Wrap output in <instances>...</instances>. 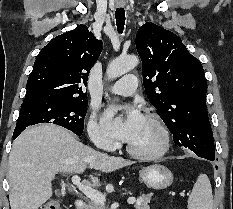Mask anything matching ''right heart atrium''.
Here are the masks:
<instances>
[{
    "mask_svg": "<svg viewBox=\"0 0 233 209\" xmlns=\"http://www.w3.org/2000/svg\"><path fill=\"white\" fill-rule=\"evenodd\" d=\"M88 135L94 146L103 150H113L117 143L114 138L98 122L95 112H92L88 122Z\"/></svg>",
    "mask_w": 233,
    "mask_h": 209,
    "instance_id": "d8ad5b80",
    "label": "right heart atrium"
}]
</instances>
